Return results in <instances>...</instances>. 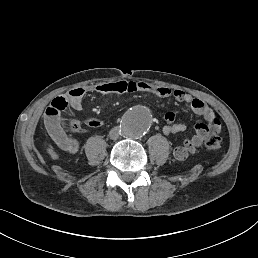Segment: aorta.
I'll list each match as a JSON object with an SVG mask.
<instances>
[{"instance_id":"obj_1","label":"aorta","mask_w":258,"mask_h":258,"mask_svg":"<svg viewBox=\"0 0 258 258\" xmlns=\"http://www.w3.org/2000/svg\"><path fill=\"white\" fill-rule=\"evenodd\" d=\"M152 124V115L148 108L135 106L124 114L121 120V133L125 138L142 137Z\"/></svg>"}]
</instances>
